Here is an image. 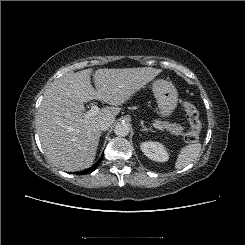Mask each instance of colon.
I'll return each instance as SVG.
<instances>
[{"instance_id":"obj_1","label":"colon","mask_w":245,"mask_h":245,"mask_svg":"<svg viewBox=\"0 0 245 245\" xmlns=\"http://www.w3.org/2000/svg\"><path fill=\"white\" fill-rule=\"evenodd\" d=\"M182 108L185 112L187 120L189 122V130L185 134V140L188 143H194L198 141L201 132V121L197 108L188 101L182 103Z\"/></svg>"}]
</instances>
